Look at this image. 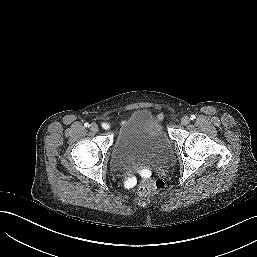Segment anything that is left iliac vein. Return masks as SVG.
<instances>
[{"label":"left iliac vein","instance_id":"1","mask_svg":"<svg viewBox=\"0 0 257 257\" xmlns=\"http://www.w3.org/2000/svg\"><path fill=\"white\" fill-rule=\"evenodd\" d=\"M189 122H190V118H189L188 116H183V117L181 118V124H182V125H188Z\"/></svg>","mask_w":257,"mask_h":257}]
</instances>
